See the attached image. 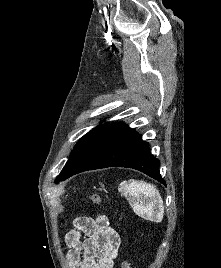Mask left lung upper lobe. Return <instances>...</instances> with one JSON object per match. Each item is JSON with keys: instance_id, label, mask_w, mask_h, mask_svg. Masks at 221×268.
I'll return each instance as SVG.
<instances>
[{"instance_id": "5c2ea615", "label": "left lung upper lobe", "mask_w": 221, "mask_h": 268, "mask_svg": "<svg viewBox=\"0 0 221 268\" xmlns=\"http://www.w3.org/2000/svg\"><path fill=\"white\" fill-rule=\"evenodd\" d=\"M106 127H108L107 123L103 125H99L96 128L89 131L86 135H84L77 145L73 148L71 157L67 161L66 165L62 169L60 175L63 171H65L74 161L75 159L80 155V153L90 144L91 141H93ZM59 175V176H60Z\"/></svg>"}]
</instances>
